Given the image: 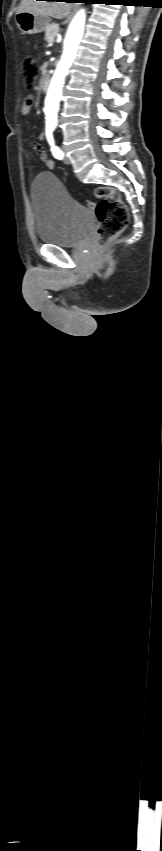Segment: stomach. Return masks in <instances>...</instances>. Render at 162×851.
<instances>
[{
  "label": "stomach",
  "instance_id": "0dacf381",
  "mask_svg": "<svg viewBox=\"0 0 162 851\" xmlns=\"http://www.w3.org/2000/svg\"><path fill=\"white\" fill-rule=\"evenodd\" d=\"M16 24L23 34H36L44 31L50 19L43 15L31 12H18L15 17Z\"/></svg>",
  "mask_w": 162,
  "mask_h": 851
}]
</instances>
